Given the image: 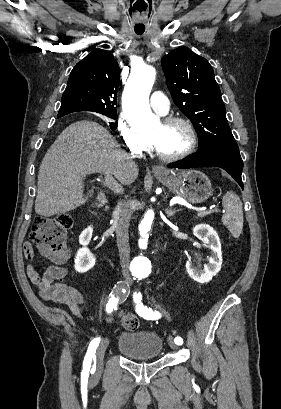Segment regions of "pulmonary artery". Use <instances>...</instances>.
Wrapping results in <instances>:
<instances>
[{
	"mask_svg": "<svg viewBox=\"0 0 281 409\" xmlns=\"http://www.w3.org/2000/svg\"><path fill=\"white\" fill-rule=\"evenodd\" d=\"M168 104L169 99L165 97L164 90H153L152 97H148L147 105L160 114L166 113Z\"/></svg>",
	"mask_w": 281,
	"mask_h": 409,
	"instance_id": "pulmonary-artery-1",
	"label": "pulmonary artery"
}]
</instances>
